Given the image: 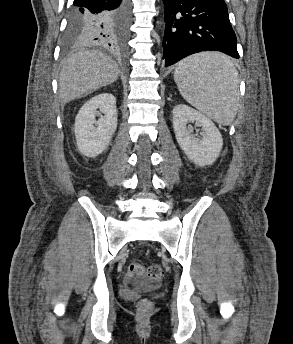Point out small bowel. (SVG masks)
Instances as JSON below:
<instances>
[{"mask_svg":"<svg viewBox=\"0 0 293 344\" xmlns=\"http://www.w3.org/2000/svg\"><path fill=\"white\" fill-rule=\"evenodd\" d=\"M137 289L133 284V278L126 274V285L121 290V294L127 299H134L136 297Z\"/></svg>","mask_w":293,"mask_h":344,"instance_id":"obj_1","label":"small bowel"}]
</instances>
